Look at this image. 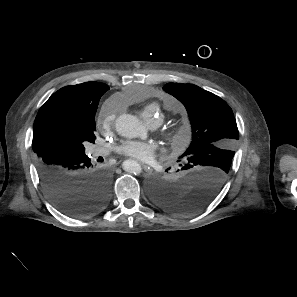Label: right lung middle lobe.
Here are the masks:
<instances>
[{"label":"right lung middle lobe","mask_w":297,"mask_h":297,"mask_svg":"<svg viewBox=\"0 0 297 297\" xmlns=\"http://www.w3.org/2000/svg\"><path fill=\"white\" fill-rule=\"evenodd\" d=\"M95 115L84 124H74L66 120H58L47 130L44 146L49 150H61L73 154L85 153L84 143L95 140Z\"/></svg>","instance_id":"dd1d6c3e"}]
</instances>
